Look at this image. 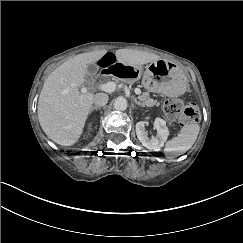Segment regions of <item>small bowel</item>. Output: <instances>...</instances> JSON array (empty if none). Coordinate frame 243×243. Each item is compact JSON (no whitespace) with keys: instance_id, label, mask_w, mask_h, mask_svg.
I'll list each match as a JSON object with an SVG mask.
<instances>
[{"instance_id":"c3829d8e","label":"small bowel","mask_w":243,"mask_h":243,"mask_svg":"<svg viewBox=\"0 0 243 243\" xmlns=\"http://www.w3.org/2000/svg\"><path fill=\"white\" fill-rule=\"evenodd\" d=\"M97 63L103 69H107L118 63H122L119 56L115 52H105L98 59Z\"/></svg>"}]
</instances>
